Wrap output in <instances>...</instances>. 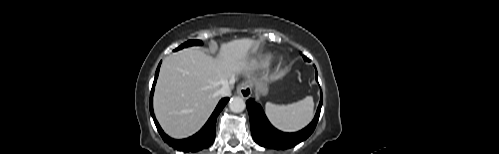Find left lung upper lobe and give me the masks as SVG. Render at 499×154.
<instances>
[{
    "mask_svg": "<svg viewBox=\"0 0 499 154\" xmlns=\"http://www.w3.org/2000/svg\"><path fill=\"white\" fill-rule=\"evenodd\" d=\"M303 58H304V60L309 61V59L307 57L303 56Z\"/></svg>",
    "mask_w": 499,
    "mask_h": 154,
    "instance_id": "obj_1",
    "label": "left lung upper lobe"
}]
</instances>
